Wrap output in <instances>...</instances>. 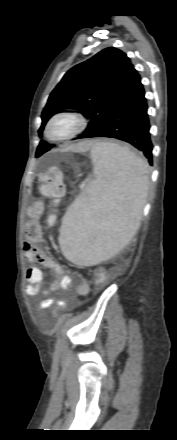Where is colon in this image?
<instances>
[{
    "label": "colon",
    "mask_w": 177,
    "mask_h": 440,
    "mask_svg": "<svg viewBox=\"0 0 177 440\" xmlns=\"http://www.w3.org/2000/svg\"><path fill=\"white\" fill-rule=\"evenodd\" d=\"M36 180L40 184V192L53 203L61 199L65 194L62 171L59 167H52L46 172L39 173ZM99 287V284H97Z\"/></svg>",
    "instance_id": "1"
}]
</instances>
